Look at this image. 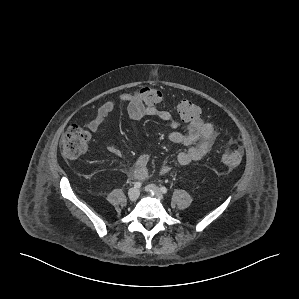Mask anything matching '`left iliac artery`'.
<instances>
[{
  "label": "left iliac artery",
  "instance_id": "obj_1",
  "mask_svg": "<svg viewBox=\"0 0 299 299\" xmlns=\"http://www.w3.org/2000/svg\"><path fill=\"white\" fill-rule=\"evenodd\" d=\"M160 191H161L162 193L166 194V193H167V188L164 187V186H161V187H160Z\"/></svg>",
  "mask_w": 299,
  "mask_h": 299
}]
</instances>
